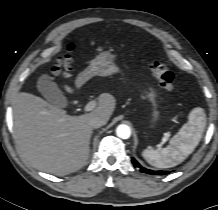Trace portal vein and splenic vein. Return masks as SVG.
Wrapping results in <instances>:
<instances>
[{"label":"portal vein and splenic vein","instance_id":"obj_1","mask_svg":"<svg viewBox=\"0 0 218 210\" xmlns=\"http://www.w3.org/2000/svg\"><path fill=\"white\" fill-rule=\"evenodd\" d=\"M96 105H97L96 101L92 100L86 104V106L84 107V111L85 112L92 111L96 107ZM167 139H168V136L165 137V140Z\"/></svg>","mask_w":218,"mask_h":210}]
</instances>
